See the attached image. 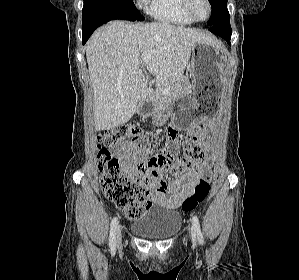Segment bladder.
<instances>
[{"instance_id":"bladder-1","label":"bladder","mask_w":299,"mask_h":280,"mask_svg":"<svg viewBox=\"0 0 299 280\" xmlns=\"http://www.w3.org/2000/svg\"><path fill=\"white\" fill-rule=\"evenodd\" d=\"M181 226V215L176 211L155 210L132 225V231L146 239L161 240L173 236Z\"/></svg>"}]
</instances>
